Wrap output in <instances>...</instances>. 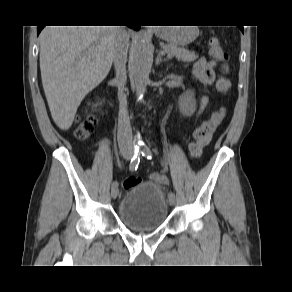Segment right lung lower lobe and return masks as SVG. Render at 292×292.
Returning <instances> with one entry per match:
<instances>
[{
	"label": "right lung lower lobe",
	"mask_w": 292,
	"mask_h": 292,
	"mask_svg": "<svg viewBox=\"0 0 292 292\" xmlns=\"http://www.w3.org/2000/svg\"><path fill=\"white\" fill-rule=\"evenodd\" d=\"M43 27L44 26H38L37 27V34L39 35V33L41 32V30L43 29ZM129 27H131V28H133V29H135V30H139V28L141 27V26H139V25H131V26H129Z\"/></svg>",
	"instance_id": "right-lung-lower-lobe-1"
}]
</instances>
